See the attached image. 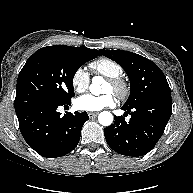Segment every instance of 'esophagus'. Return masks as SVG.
<instances>
[{"label":"esophagus","instance_id":"obj_1","mask_svg":"<svg viewBox=\"0 0 193 193\" xmlns=\"http://www.w3.org/2000/svg\"><path fill=\"white\" fill-rule=\"evenodd\" d=\"M98 115V112H89L88 116L89 118H95Z\"/></svg>","mask_w":193,"mask_h":193}]
</instances>
